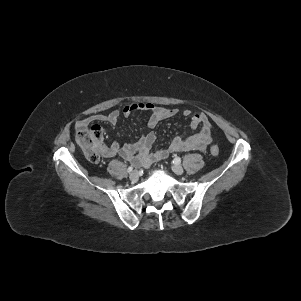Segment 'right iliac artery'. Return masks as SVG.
<instances>
[{
  "mask_svg": "<svg viewBox=\"0 0 301 301\" xmlns=\"http://www.w3.org/2000/svg\"><path fill=\"white\" fill-rule=\"evenodd\" d=\"M132 170H133V166H129L127 169V172L130 173V172H132Z\"/></svg>",
  "mask_w": 301,
  "mask_h": 301,
  "instance_id": "right-iliac-artery-1",
  "label": "right iliac artery"
}]
</instances>
